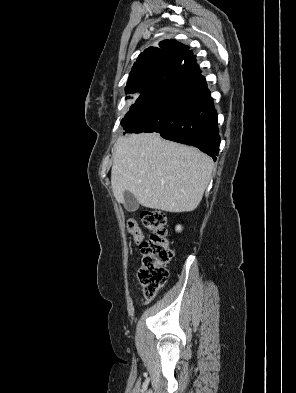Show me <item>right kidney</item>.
Here are the masks:
<instances>
[{"mask_svg":"<svg viewBox=\"0 0 296 393\" xmlns=\"http://www.w3.org/2000/svg\"><path fill=\"white\" fill-rule=\"evenodd\" d=\"M181 230H182V227H181L180 225H178V226L176 227V231L180 232Z\"/></svg>","mask_w":296,"mask_h":393,"instance_id":"obj_1","label":"right kidney"}]
</instances>
